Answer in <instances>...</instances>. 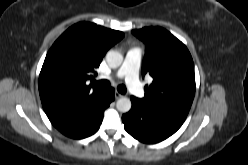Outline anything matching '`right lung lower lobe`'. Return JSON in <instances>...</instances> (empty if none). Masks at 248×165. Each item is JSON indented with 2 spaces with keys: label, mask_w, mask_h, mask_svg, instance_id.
I'll return each instance as SVG.
<instances>
[{
  "label": "right lung lower lobe",
  "mask_w": 248,
  "mask_h": 165,
  "mask_svg": "<svg viewBox=\"0 0 248 165\" xmlns=\"http://www.w3.org/2000/svg\"><path fill=\"white\" fill-rule=\"evenodd\" d=\"M114 94L115 90L113 88L107 89L104 99L94 109L76 121L57 129L64 135L74 139H82L94 134L103 120L104 110L114 101Z\"/></svg>",
  "instance_id": "1"
}]
</instances>
